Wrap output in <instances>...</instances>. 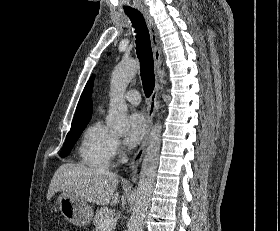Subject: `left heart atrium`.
Listing matches in <instances>:
<instances>
[{"label":"left heart atrium","mask_w":280,"mask_h":231,"mask_svg":"<svg viewBox=\"0 0 280 231\" xmlns=\"http://www.w3.org/2000/svg\"><path fill=\"white\" fill-rule=\"evenodd\" d=\"M147 125L144 117L139 113H134L128 118V133L125 137V144L135 147L143 139Z\"/></svg>","instance_id":"obj_1"}]
</instances>
